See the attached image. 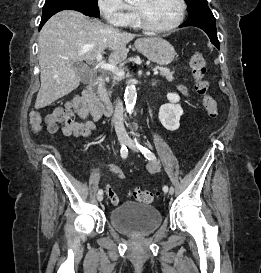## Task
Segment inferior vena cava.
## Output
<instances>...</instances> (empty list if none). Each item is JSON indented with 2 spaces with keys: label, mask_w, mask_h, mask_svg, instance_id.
<instances>
[{
  "label": "inferior vena cava",
  "mask_w": 261,
  "mask_h": 273,
  "mask_svg": "<svg viewBox=\"0 0 261 273\" xmlns=\"http://www.w3.org/2000/svg\"><path fill=\"white\" fill-rule=\"evenodd\" d=\"M113 123H114L115 131H116L118 138L127 137V133H126V130L124 128V123H123V105H122V102L120 101V99H117L116 104H115Z\"/></svg>",
  "instance_id": "obj_1"
}]
</instances>
